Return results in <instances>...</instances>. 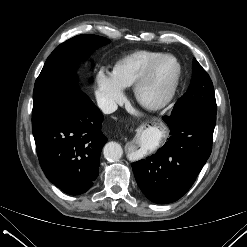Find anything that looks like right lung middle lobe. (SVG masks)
<instances>
[{"instance_id":"obj_1","label":"right lung middle lobe","mask_w":247,"mask_h":247,"mask_svg":"<svg viewBox=\"0 0 247 247\" xmlns=\"http://www.w3.org/2000/svg\"><path fill=\"white\" fill-rule=\"evenodd\" d=\"M108 39L78 35L60 44L48 57L33 92L32 125L35 126L60 106L72 89L78 88L77 65Z\"/></svg>"}]
</instances>
